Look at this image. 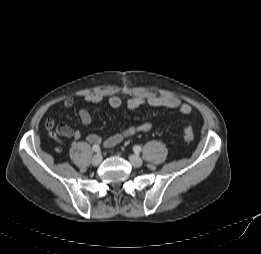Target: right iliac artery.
Returning a JSON list of instances; mask_svg holds the SVG:
<instances>
[{
    "label": "right iliac artery",
    "instance_id": "right-iliac-artery-1",
    "mask_svg": "<svg viewBox=\"0 0 261 254\" xmlns=\"http://www.w3.org/2000/svg\"><path fill=\"white\" fill-rule=\"evenodd\" d=\"M92 150L94 152H99L100 151V146L99 145H93Z\"/></svg>",
    "mask_w": 261,
    "mask_h": 254
}]
</instances>
